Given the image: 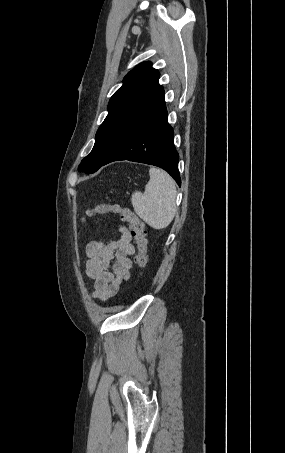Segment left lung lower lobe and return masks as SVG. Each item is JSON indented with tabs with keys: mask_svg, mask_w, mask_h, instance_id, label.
Segmentation results:
<instances>
[{
	"mask_svg": "<svg viewBox=\"0 0 285 453\" xmlns=\"http://www.w3.org/2000/svg\"><path fill=\"white\" fill-rule=\"evenodd\" d=\"M167 116L163 89L128 126L103 165L117 160L155 165L166 170L180 186L179 155L174 145V132L168 123Z\"/></svg>",
	"mask_w": 285,
	"mask_h": 453,
	"instance_id": "left-lung-lower-lobe-1",
	"label": "left lung lower lobe"
}]
</instances>
